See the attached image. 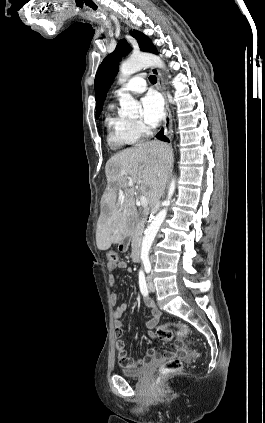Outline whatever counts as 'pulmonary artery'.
<instances>
[{
	"instance_id": "e3ab8cb5",
	"label": "pulmonary artery",
	"mask_w": 265,
	"mask_h": 423,
	"mask_svg": "<svg viewBox=\"0 0 265 423\" xmlns=\"http://www.w3.org/2000/svg\"><path fill=\"white\" fill-rule=\"evenodd\" d=\"M146 89V81L143 75H137L133 77L128 83L124 84L117 92H129L133 94H139L144 92Z\"/></svg>"
}]
</instances>
